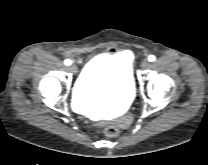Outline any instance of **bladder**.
Segmentation results:
<instances>
[{"label": "bladder", "instance_id": "obj_1", "mask_svg": "<svg viewBox=\"0 0 208 165\" xmlns=\"http://www.w3.org/2000/svg\"><path fill=\"white\" fill-rule=\"evenodd\" d=\"M133 95L132 75L120 55L93 58L82 70L74 89L75 102L82 107H116L127 104Z\"/></svg>", "mask_w": 208, "mask_h": 165}]
</instances>
